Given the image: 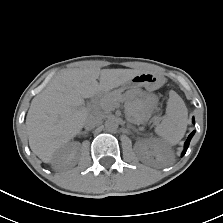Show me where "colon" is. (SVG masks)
Here are the masks:
<instances>
[{
	"label": "colon",
	"instance_id": "obj_1",
	"mask_svg": "<svg viewBox=\"0 0 223 223\" xmlns=\"http://www.w3.org/2000/svg\"><path fill=\"white\" fill-rule=\"evenodd\" d=\"M179 154L183 156L185 154L184 148L179 149Z\"/></svg>",
	"mask_w": 223,
	"mask_h": 223
}]
</instances>
